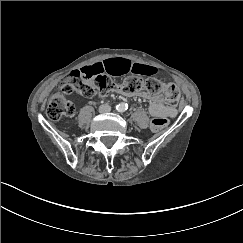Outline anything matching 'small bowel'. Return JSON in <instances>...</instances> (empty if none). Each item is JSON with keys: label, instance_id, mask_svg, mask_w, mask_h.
<instances>
[{"label": "small bowel", "instance_id": "1", "mask_svg": "<svg viewBox=\"0 0 243 243\" xmlns=\"http://www.w3.org/2000/svg\"><path fill=\"white\" fill-rule=\"evenodd\" d=\"M81 72L86 74L92 73H108L113 76H119L129 72L140 75H153L156 73V68L143 63L133 62L125 58L110 59L102 62H97L81 69ZM147 97V95H144ZM151 105L149 112L156 117H175L177 110L173 106L166 105L161 96L151 97Z\"/></svg>", "mask_w": 243, "mask_h": 243}]
</instances>
